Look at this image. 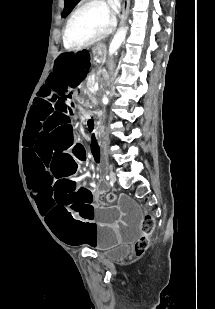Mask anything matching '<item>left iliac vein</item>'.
I'll list each match as a JSON object with an SVG mask.
<instances>
[{
	"label": "left iliac vein",
	"mask_w": 215,
	"mask_h": 309,
	"mask_svg": "<svg viewBox=\"0 0 215 309\" xmlns=\"http://www.w3.org/2000/svg\"><path fill=\"white\" fill-rule=\"evenodd\" d=\"M110 181L114 183L116 181V174L114 171H111L109 174Z\"/></svg>",
	"instance_id": "obj_1"
}]
</instances>
